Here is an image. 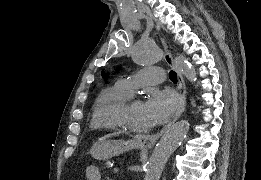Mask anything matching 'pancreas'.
Instances as JSON below:
<instances>
[{"mask_svg":"<svg viewBox=\"0 0 261 180\" xmlns=\"http://www.w3.org/2000/svg\"><path fill=\"white\" fill-rule=\"evenodd\" d=\"M103 169L104 170L110 169V159H105V162L103 163Z\"/></svg>","mask_w":261,"mask_h":180,"instance_id":"obj_1","label":"pancreas"}]
</instances>
